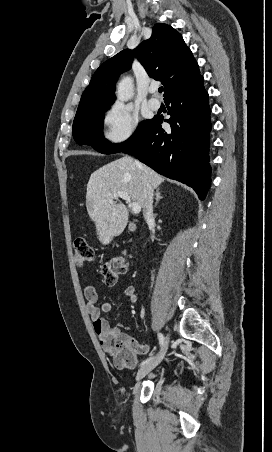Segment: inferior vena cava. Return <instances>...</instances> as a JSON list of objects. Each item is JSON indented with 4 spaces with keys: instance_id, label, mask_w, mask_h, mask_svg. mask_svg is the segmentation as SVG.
Masks as SVG:
<instances>
[{
    "instance_id": "1",
    "label": "inferior vena cava",
    "mask_w": 272,
    "mask_h": 452,
    "mask_svg": "<svg viewBox=\"0 0 272 452\" xmlns=\"http://www.w3.org/2000/svg\"><path fill=\"white\" fill-rule=\"evenodd\" d=\"M138 166H140L139 162H136ZM143 199H144V206H143V216L146 221H149L153 218V195H154V188L150 185V183L147 181L146 176H144V182H143Z\"/></svg>"
}]
</instances>
